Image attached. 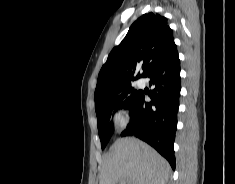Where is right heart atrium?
Instances as JSON below:
<instances>
[{"instance_id":"right-heart-atrium-1","label":"right heart atrium","mask_w":235,"mask_h":184,"mask_svg":"<svg viewBox=\"0 0 235 184\" xmlns=\"http://www.w3.org/2000/svg\"><path fill=\"white\" fill-rule=\"evenodd\" d=\"M129 120V111L123 106L116 107L112 115L113 132L121 133L128 125Z\"/></svg>"}]
</instances>
